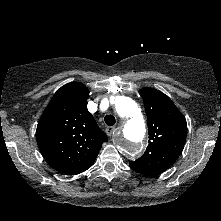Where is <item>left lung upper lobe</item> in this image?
I'll return each mask as SVG.
<instances>
[{"instance_id": "obj_1", "label": "left lung upper lobe", "mask_w": 221, "mask_h": 221, "mask_svg": "<svg viewBox=\"0 0 221 221\" xmlns=\"http://www.w3.org/2000/svg\"><path fill=\"white\" fill-rule=\"evenodd\" d=\"M139 92L147 115L149 141L144 155L133 163L156 175L166 171L183 151L187 123L164 93L152 88Z\"/></svg>"}]
</instances>
